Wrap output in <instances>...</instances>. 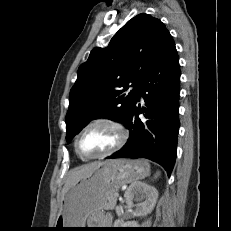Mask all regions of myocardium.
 <instances>
[{"instance_id": "f54148a6", "label": "myocardium", "mask_w": 231, "mask_h": 231, "mask_svg": "<svg viewBox=\"0 0 231 231\" xmlns=\"http://www.w3.org/2000/svg\"><path fill=\"white\" fill-rule=\"evenodd\" d=\"M96 124H108V125L112 126L118 133V140L112 148H110L109 150H107L101 154L93 155V156H85L79 150V139H80L81 135L85 132V130H87L89 127L96 125ZM127 139H128V131L120 121H118L114 118L100 117V118H96V119L90 121L89 123H87L78 132V134L75 137L74 148H75L76 154L83 160L100 159V158L110 156V155L116 153L117 151H119L125 145Z\"/></svg>"}]
</instances>
